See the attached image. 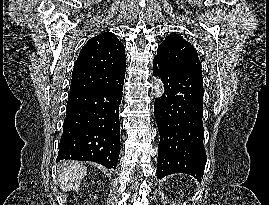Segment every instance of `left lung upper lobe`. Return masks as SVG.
I'll return each instance as SVG.
<instances>
[{
    "label": "left lung upper lobe",
    "instance_id": "obj_1",
    "mask_svg": "<svg viewBox=\"0 0 269 205\" xmlns=\"http://www.w3.org/2000/svg\"><path fill=\"white\" fill-rule=\"evenodd\" d=\"M155 58L178 71L199 74L202 72L197 51L188 41L176 33L169 34L159 45Z\"/></svg>",
    "mask_w": 269,
    "mask_h": 205
}]
</instances>
